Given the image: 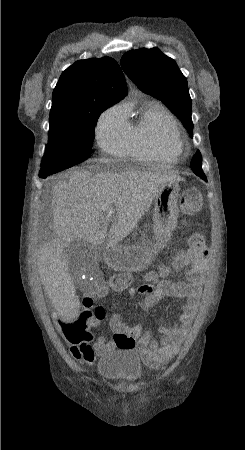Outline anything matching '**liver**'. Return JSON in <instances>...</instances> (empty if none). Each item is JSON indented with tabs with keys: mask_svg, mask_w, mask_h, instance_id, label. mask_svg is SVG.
I'll list each match as a JSON object with an SVG mask.
<instances>
[{
	"mask_svg": "<svg viewBox=\"0 0 245 450\" xmlns=\"http://www.w3.org/2000/svg\"><path fill=\"white\" fill-rule=\"evenodd\" d=\"M169 181L183 178L160 171L79 169L67 181L56 183L52 197L55 239L39 248L37 265L44 289L61 316L74 318L80 307L65 255L68 245L76 239L94 247L106 239L107 247L117 245L148 211L159 187ZM110 209L114 213L107 233L102 219Z\"/></svg>",
	"mask_w": 245,
	"mask_h": 450,
	"instance_id": "obj_1",
	"label": "liver"
}]
</instances>
